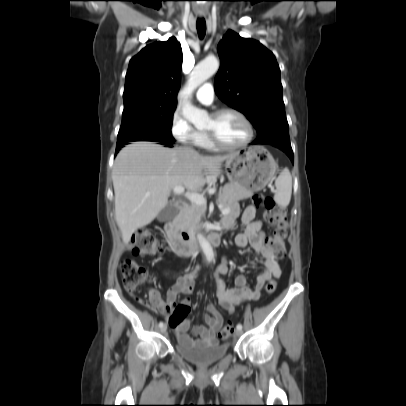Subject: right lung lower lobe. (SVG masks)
Returning <instances> with one entry per match:
<instances>
[{
	"label": "right lung lower lobe",
	"mask_w": 406,
	"mask_h": 406,
	"mask_svg": "<svg viewBox=\"0 0 406 406\" xmlns=\"http://www.w3.org/2000/svg\"><path fill=\"white\" fill-rule=\"evenodd\" d=\"M162 145H165V146H167V147H173V143L174 142H171V141H163V142H160ZM122 147H124V146H117L116 147V152H115V154H117L118 153V151L122 148Z\"/></svg>",
	"instance_id": "98d812e1"
}]
</instances>
